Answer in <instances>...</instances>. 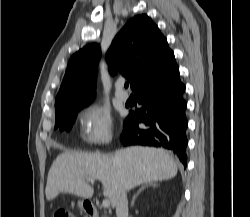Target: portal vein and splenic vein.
Returning <instances> with one entry per match:
<instances>
[{
  "label": "portal vein and splenic vein",
  "instance_id": "18ae733b",
  "mask_svg": "<svg viewBox=\"0 0 250 217\" xmlns=\"http://www.w3.org/2000/svg\"><path fill=\"white\" fill-rule=\"evenodd\" d=\"M87 182H90L91 184H94V180L93 179H87ZM102 206L104 208H109L110 207V200L109 199L103 200Z\"/></svg>",
  "mask_w": 250,
  "mask_h": 217
}]
</instances>
